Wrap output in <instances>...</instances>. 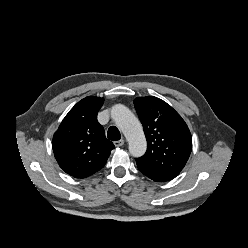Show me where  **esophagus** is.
Masks as SVG:
<instances>
[{
  "instance_id": "34e87169",
  "label": "esophagus",
  "mask_w": 248,
  "mask_h": 248,
  "mask_svg": "<svg viewBox=\"0 0 248 248\" xmlns=\"http://www.w3.org/2000/svg\"><path fill=\"white\" fill-rule=\"evenodd\" d=\"M124 143H125L124 139H121V140L115 141V142H114V145H115L116 147H121V146L124 145Z\"/></svg>"
}]
</instances>
